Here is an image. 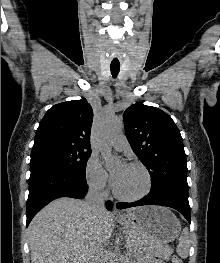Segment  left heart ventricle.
<instances>
[{"label":"left heart ventricle","instance_id":"obj_1","mask_svg":"<svg viewBox=\"0 0 220 263\" xmlns=\"http://www.w3.org/2000/svg\"><path fill=\"white\" fill-rule=\"evenodd\" d=\"M118 167L114 169V172L117 171ZM114 182L117 190L126 196L138 195L146 188V176L144 172L141 168L132 165H126L114 178Z\"/></svg>","mask_w":220,"mask_h":263}]
</instances>
